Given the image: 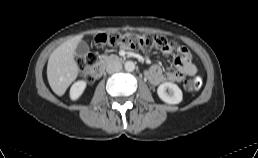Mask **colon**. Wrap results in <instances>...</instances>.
Here are the masks:
<instances>
[{"label": "colon", "instance_id": "colon-1", "mask_svg": "<svg viewBox=\"0 0 258 158\" xmlns=\"http://www.w3.org/2000/svg\"><path fill=\"white\" fill-rule=\"evenodd\" d=\"M95 43L100 47L119 46L125 49H141L150 51L154 49L170 52L179 49L178 45L160 35L137 34V33H104L95 37ZM96 61V57L91 54H84L79 57L78 65L82 71L92 66ZM202 85L201 78L198 76L188 78L184 82V88L190 93L200 90Z\"/></svg>", "mask_w": 258, "mask_h": 158}]
</instances>
